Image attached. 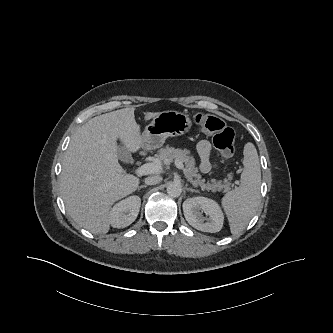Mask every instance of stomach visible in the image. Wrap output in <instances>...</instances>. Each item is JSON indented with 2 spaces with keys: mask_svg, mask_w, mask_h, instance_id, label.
<instances>
[{
  "mask_svg": "<svg viewBox=\"0 0 333 333\" xmlns=\"http://www.w3.org/2000/svg\"><path fill=\"white\" fill-rule=\"evenodd\" d=\"M192 126L188 115L175 110L160 112L142 133L143 148H160L168 137L181 136L189 132Z\"/></svg>",
  "mask_w": 333,
  "mask_h": 333,
  "instance_id": "1",
  "label": "stomach"
}]
</instances>
